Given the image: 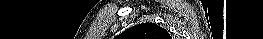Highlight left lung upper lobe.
Wrapping results in <instances>:
<instances>
[{
    "mask_svg": "<svg viewBox=\"0 0 263 39\" xmlns=\"http://www.w3.org/2000/svg\"><path fill=\"white\" fill-rule=\"evenodd\" d=\"M119 39H171L169 33L155 23L138 24L122 34Z\"/></svg>",
    "mask_w": 263,
    "mask_h": 39,
    "instance_id": "5c2ea615",
    "label": "left lung upper lobe"
}]
</instances>
